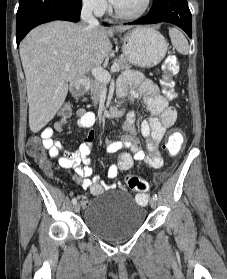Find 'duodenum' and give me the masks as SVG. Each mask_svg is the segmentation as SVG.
<instances>
[{"instance_id": "obj_1", "label": "duodenum", "mask_w": 227, "mask_h": 279, "mask_svg": "<svg viewBox=\"0 0 227 279\" xmlns=\"http://www.w3.org/2000/svg\"><path fill=\"white\" fill-rule=\"evenodd\" d=\"M88 84H89V78H87V77L80 78L71 87V90H70L71 94L74 97L83 96L85 94L86 90H87ZM108 114L111 115V116H117L118 111L114 110V109H110L108 111Z\"/></svg>"}]
</instances>
